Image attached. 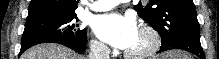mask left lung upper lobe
Returning a JSON list of instances; mask_svg holds the SVG:
<instances>
[{"instance_id": "1", "label": "left lung upper lobe", "mask_w": 219, "mask_h": 59, "mask_svg": "<svg viewBox=\"0 0 219 59\" xmlns=\"http://www.w3.org/2000/svg\"><path fill=\"white\" fill-rule=\"evenodd\" d=\"M135 10L161 36L162 44L185 33H200L193 0H149Z\"/></svg>"}]
</instances>
